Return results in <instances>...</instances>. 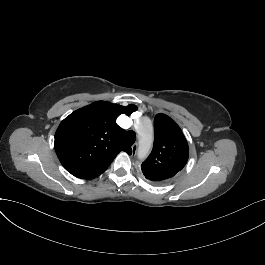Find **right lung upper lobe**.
Masks as SVG:
<instances>
[{
    "label": "right lung upper lobe",
    "instance_id": "obj_1",
    "mask_svg": "<svg viewBox=\"0 0 265 265\" xmlns=\"http://www.w3.org/2000/svg\"><path fill=\"white\" fill-rule=\"evenodd\" d=\"M136 110L132 104L124 107L98 101L66 117L55 134V151L64 168L77 178L89 180L103 173L120 151L131 154L116 118Z\"/></svg>",
    "mask_w": 265,
    "mask_h": 265
}]
</instances>
